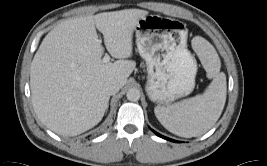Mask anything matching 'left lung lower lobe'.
<instances>
[{"instance_id": "obj_1", "label": "left lung lower lobe", "mask_w": 267, "mask_h": 166, "mask_svg": "<svg viewBox=\"0 0 267 166\" xmlns=\"http://www.w3.org/2000/svg\"><path fill=\"white\" fill-rule=\"evenodd\" d=\"M152 130V129H151ZM157 136H159V137H161V138H163V139H166V140H169V141H173V142H178V141H175V140H172V139H170V138H167V137H165V136H162V135H160L159 133H157V132H155L154 130H152Z\"/></svg>"}]
</instances>
